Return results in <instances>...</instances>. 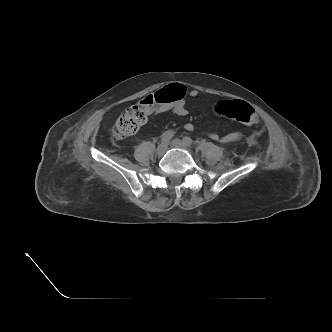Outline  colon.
<instances>
[{
	"instance_id": "5ec220e1",
	"label": "colon",
	"mask_w": 332,
	"mask_h": 332,
	"mask_svg": "<svg viewBox=\"0 0 332 332\" xmlns=\"http://www.w3.org/2000/svg\"><path fill=\"white\" fill-rule=\"evenodd\" d=\"M186 93L185 86L173 83L162 87L155 93L148 95L141 102L127 108L117 119L113 128L116 139H125L134 135L143 126L153 106H166L181 101ZM217 115L233 119L249 126H257L259 118L254 108L242 100H223L214 108ZM255 142V136L250 138Z\"/></svg>"
}]
</instances>
